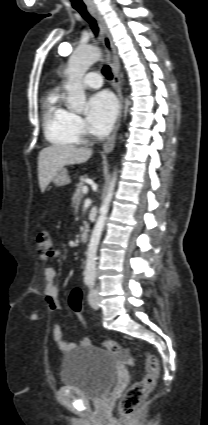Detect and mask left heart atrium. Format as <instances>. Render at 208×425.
Segmentation results:
<instances>
[{
	"label": "left heart atrium",
	"mask_w": 208,
	"mask_h": 425,
	"mask_svg": "<svg viewBox=\"0 0 208 425\" xmlns=\"http://www.w3.org/2000/svg\"><path fill=\"white\" fill-rule=\"evenodd\" d=\"M118 106L113 95L107 91L94 94L88 101L87 127L96 135L107 134L117 116Z\"/></svg>",
	"instance_id": "obj_1"
}]
</instances>
